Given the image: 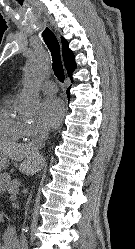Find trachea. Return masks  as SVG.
<instances>
[{
    "mask_svg": "<svg viewBox=\"0 0 135 249\" xmlns=\"http://www.w3.org/2000/svg\"><path fill=\"white\" fill-rule=\"evenodd\" d=\"M42 36L52 55V60H53L52 69L54 71V74L61 82H63L65 76L61 61L59 42L54 33L48 28H46L43 31Z\"/></svg>",
    "mask_w": 135,
    "mask_h": 249,
    "instance_id": "obj_1",
    "label": "trachea"
}]
</instances>
